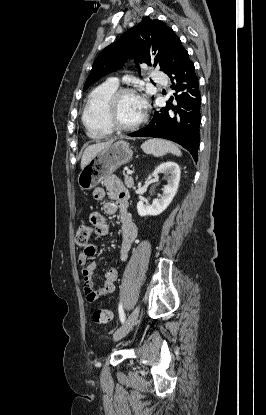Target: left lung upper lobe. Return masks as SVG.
Wrapping results in <instances>:
<instances>
[{
  "mask_svg": "<svg viewBox=\"0 0 266 415\" xmlns=\"http://www.w3.org/2000/svg\"><path fill=\"white\" fill-rule=\"evenodd\" d=\"M187 55L188 52L172 28L160 20L145 17L99 54L83 90L107 73L120 68L128 58L135 59L137 64L159 66L169 76Z\"/></svg>",
  "mask_w": 266,
  "mask_h": 415,
  "instance_id": "left-lung-upper-lobe-1",
  "label": "left lung upper lobe"
}]
</instances>
